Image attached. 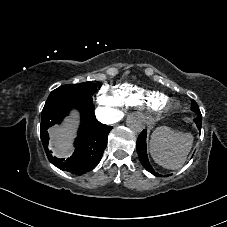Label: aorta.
I'll return each instance as SVG.
<instances>
[{"label":"aorta","mask_w":227,"mask_h":227,"mask_svg":"<svg viewBox=\"0 0 227 227\" xmlns=\"http://www.w3.org/2000/svg\"><path fill=\"white\" fill-rule=\"evenodd\" d=\"M127 126L130 130L140 133L146 126L145 117L140 113H133L127 117Z\"/></svg>","instance_id":"1"}]
</instances>
